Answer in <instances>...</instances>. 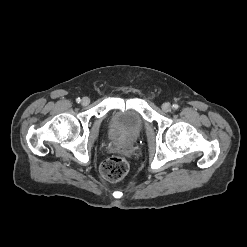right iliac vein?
Here are the masks:
<instances>
[{
	"label": "right iliac vein",
	"instance_id": "1",
	"mask_svg": "<svg viewBox=\"0 0 247 247\" xmlns=\"http://www.w3.org/2000/svg\"><path fill=\"white\" fill-rule=\"evenodd\" d=\"M90 103V99L88 97H83L81 104L83 106H87Z\"/></svg>",
	"mask_w": 247,
	"mask_h": 247
}]
</instances>
